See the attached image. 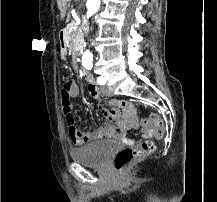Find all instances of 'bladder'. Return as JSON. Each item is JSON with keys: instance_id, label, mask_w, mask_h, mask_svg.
<instances>
[{"instance_id": "1", "label": "bladder", "mask_w": 217, "mask_h": 202, "mask_svg": "<svg viewBox=\"0 0 217 202\" xmlns=\"http://www.w3.org/2000/svg\"><path fill=\"white\" fill-rule=\"evenodd\" d=\"M117 149L118 142L115 140H104L90 143L80 149H73L71 158L82 165L98 166L104 164L111 153Z\"/></svg>"}]
</instances>
